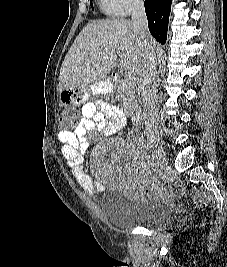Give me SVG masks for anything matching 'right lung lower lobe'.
<instances>
[{"mask_svg": "<svg viewBox=\"0 0 227 267\" xmlns=\"http://www.w3.org/2000/svg\"><path fill=\"white\" fill-rule=\"evenodd\" d=\"M172 0H145L150 33L161 44L167 39L168 19Z\"/></svg>", "mask_w": 227, "mask_h": 267, "instance_id": "obj_1", "label": "right lung lower lobe"}]
</instances>
